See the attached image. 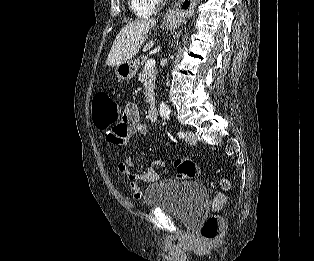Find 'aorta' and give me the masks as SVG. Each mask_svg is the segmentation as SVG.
Segmentation results:
<instances>
[{
    "label": "aorta",
    "mask_w": 314,
    "mask_h": 261,
    "mask_svg": "<svg viewBox=\"0 0 314 261\" xmlns=\"http://www.w3.org/2000/svg\"><path fill=\"white\" fill-rule=\"evenodd\" d=\"M159 112H160V115L162 117H164V118H168L169 117L170 112H169L168 106L163 101L159 105Z\"/></svg>",
    "instance_id": "aorta-1"
}]
</instances>
